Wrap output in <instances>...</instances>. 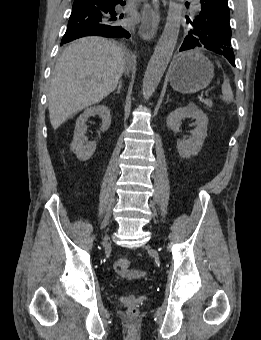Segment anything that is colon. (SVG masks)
<instances>
[{"label": "colon", "mask_w": 261, "mask_h": 340, "mask_svg": "<svg viewBox=\"0 0 261 340\" xmlns=\"http://www.w3.org/2000/svg\"><path fill=\"white\" fill-rule=\"evenodd\" d=\"M130 267H131V262L127 258L119 259L114 264V269L119 274H126L130 270ZM130 312L132 315H135L137 313V310L132 309Z\"/></svg>", "instance_id": "colon-1"}]
</instances>
